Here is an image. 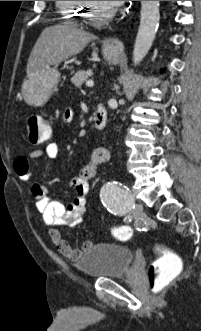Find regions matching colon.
I'll return each mask as SVG.
<instances>
[{
    "label": "colon",
    "instance_id": "1",
    "mask_svg": "<svg viewBox=\"0 0 201 331\" xmlns=\"http://www.w3.org/2000/svg\"><path fill=\"white\" fill-rule=\"evenodd\" d=\"M28 139L33 144H42L49 140L51 128L49 123L38 115L30 116L27 120ZM113 236L121 241L132 237V228L126 225L116 226ZM160 256L155 259L148 270L149 287L153 294L163 296L182 272V261L173 252L158 248Z\"/></svg>",
    "mask_w": 201,
    "mask_h": 331
}]
</instances>
